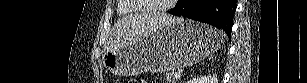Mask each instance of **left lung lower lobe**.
I'll return each instance as SVG.
<instances>
[{
    "label": "left lung lower lobe",
    "instance_id": "left-lung-lower-lobe-1",
    "mask_svg": "<svg viewBox=\"0 0 307 83\" xmlns=\"http://www.w3.org/2000/svg\"><path fill=\"white\" fill-rule=\"evenodd\" d=\"M236 7V0H178L168 13L222 29L230 38Z\"/></svg>",
    "mask_w": 307,
    "mask_h": 83
}]
</instances>
